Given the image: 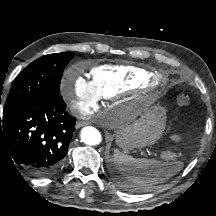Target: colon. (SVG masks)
Listing matches in <instances>:
<instances>
[{"instance_id": "obj_1", "label": "colon", "mask_w": 216, "mask_h": 216, "mask_svg": "<svg viewBox=\"0 0 216 216\" xmlns=\"http://www.w3.org/2000/svg\"><path fill=\"white\" fill-rule=\"evenodd\" d=\"M190 95L187 91H181L176 96V103L178 106L186 107L189 105ZM164 157L166 159H174L177 157V153L175 151L169 150L164 153Z\"/></svg>"}]
</instances>
